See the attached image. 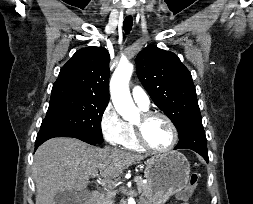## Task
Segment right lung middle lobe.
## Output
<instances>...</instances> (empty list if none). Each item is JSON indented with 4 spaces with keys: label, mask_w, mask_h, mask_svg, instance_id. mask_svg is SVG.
<instances>
[{
    "label": "right lung middle lobe",
    "mask_w": 253,
    "mask_h": 204,
    "mask_svg": "<svg viewBox=\"0 0 253 204\" xmlns=\"http://www.w3.org/2000/svg\"><path fill=\"white\" fill-rule=\"evenodd\" d=\"M107 104L74 89L52 88L40 129L64 131L102 143L101 119Z\"/></svg>",
    "instance_id": "dd1d6c3e"
}]
</instances>
